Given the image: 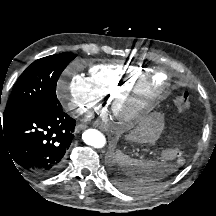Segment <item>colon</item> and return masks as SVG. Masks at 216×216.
I'll use <instances>...</instances> for the list:
<instances>
[{"instance_id":"5ec220e1","label":"colon","mask_w":216,"mask_h":216,"mask_svg":"<svg viewBox=\"0 0 216 216\" xmlns=\"http://www.w3.org/2000/svg\"><path fill=\"white\" fill-rule=\"evenodd\" d=\"M191 100L188 92L181 93L176 99V107L180 112H185L190 108ZM164 159L180 160L182 158V152L179 145L174 146L173 148L167 149L162 153Z\"/></svg>"}]
</instances>
